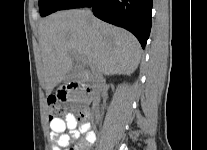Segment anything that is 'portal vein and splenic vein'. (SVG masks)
Wrapping results in <instances>:
<instances>
[{
	"label": "portal vein and splenic vein",
	"mask_w": 207,
	"mask_h": 150,
	"mask_svg": "<svg viewBox=\"0 0 207 150\" xmlns=\"http://www.w3.org/2000/svg\"><path fill=\"white\" fill-rule=\"evenodd\" d=\"M77 60H78L79 62H82V61H83L81 58H77Z\"/></svg>",
	"instance_id": "obj_1"
}]
</instances>
